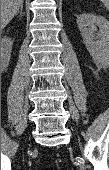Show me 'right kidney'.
<instances>
[{
	"mask_svg": "<svg viewBox=\"0 0 109 170\" xmlns=\"http://www.w3.org/2000/svg\"><path fill=\"white\" fill-rule=\"evenodd\" d=\"M13 40L4 37L1 39V68L5 70L10 61L11 51H12Z\"/></svg>",
	"mask_w": 109,
	"mask_h": 170,
	"instance_id": "obj_1",
	"label": "right kidney"
}]
</instances>
